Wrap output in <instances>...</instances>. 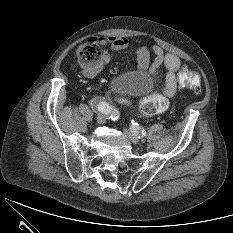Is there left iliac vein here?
<instances>
[{"mask_svg":"<svg viewBox=\"0 0 233 233\" xmlns=\"http://www.w3.org/2000/svg\"><path fill=\"white\" fill-rule=\"evenodd\" d=\"M125 132L133 143H139L141 141L140 133L136 131L133 126H131L129 130H126Z\"/></svg>","mask_w":233,"mask_h":233,"instance_id":"1","label":"left iliac vein"}]
</instances>
